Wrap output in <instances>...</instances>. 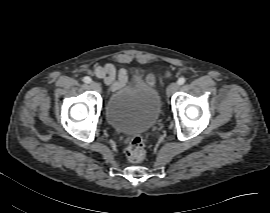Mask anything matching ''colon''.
Here are the masks:
<instances>
[{
	"mask_svg": "<svg viewBox=\"0 0 270 213\" xmlns=\"http://www.w3.org/2000/svg\"><path fill=\"white\" fill-rule=\"evenodd\" d=\"M170 71H165V76H169ZM126 157L130 162H141L146 157V145L142 135L132 137L127 148Z\"/></svg>",
	"mask_w": 270,
	"mask_h": 213,
	"instance_id": "5ec220e1",
	"label": "colon"
}]
</instances>
